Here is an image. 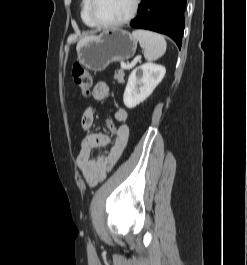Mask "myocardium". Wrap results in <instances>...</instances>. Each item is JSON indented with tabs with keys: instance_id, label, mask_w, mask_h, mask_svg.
<instances>
[{
	"instance_id": "obj_1",
	"label": "myocardium",
	"mask_w": 247,
	"mask_h": 265,
	"mask_svg": "<svg viewBox=\"0 0 247 265\" xmlns=\"http://www.w3.org/2000/svg\"><path fill=\"white\" fill-rule=\"evenodd\" d=\"M140 1L141 0H133L132 9H131L130 13L125 18H123L119 21H116V22H112V23H104V22L100 21L95 14L96 0H90L89 16H90L92 22L94 23V25L97 27L104 28V29H112V28L121 27L123 25L130 23L136 17L138 10H139V6H140Z\"/></svg>"
}]
</instances>
